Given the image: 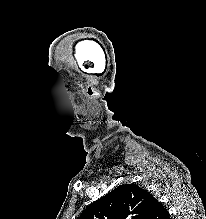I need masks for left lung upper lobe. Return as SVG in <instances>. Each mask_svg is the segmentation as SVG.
<instances>
[{
	"mask_svg": "<svg viewBox=\"0 0 206 219\" xmlns=\"http://www.w3.org/2000/svg\"><path fill=\"white\" fill-rule=\"evenodd\" d=\"M153 199L136 184L120 185L91 203L77 219H149Z\"/></svg>",
	"mask_w": 206,
	"mask_h": 219,
	"instance_id": "5c2ea615",
	"label": "left lung upper lobe"
}]
</instances>
